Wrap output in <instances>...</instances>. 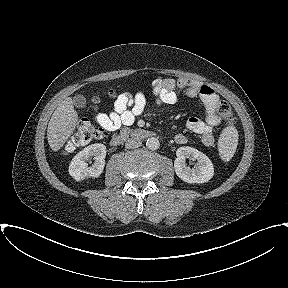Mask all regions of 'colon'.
<instances>
[{
	"mask_svg": "<svg viewBox=\"0 0 288 288\" xmlns=\"http://www.w3.org/2000/svg\"><path fill=\"white\" fill-rule=\"evenodd\" d=\"M114 95V94H113ZM97 98L95 101L97 102ZM217 110L228 123L233 122V115L230 106L225 101H220ZM105 136V130L88 120H81L77 128L67 143V148L71 149L76 146L85 145L95 140L102 139Z\"/></svg>",
	"mask_w": 288,
	"mask_h": 288,
	"instance_id": "1",
	"label": "colon"
}]
</instances>
